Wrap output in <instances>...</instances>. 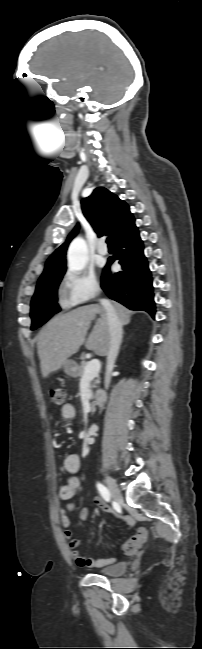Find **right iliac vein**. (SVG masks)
I'll use <instances>...</instances> for the list:
<instances>
[{
    "mask_svg": "<svg viewBox=\"0 0 202 649\" xmlns=\"http://www.w3.org/2000/svg\"><path fill=\"white\" fill-rule=\"evenodd\" d=\"M105 482L113 500L121 504L123 502V497L115 481L110 476L105 475Z\"/></svg>",
    "mask_w": 202,
    "mask_h": 649,
    "instance_id": "right-iliac-vein-1",
    "label": "right iliac vein"
}]
</instances>
